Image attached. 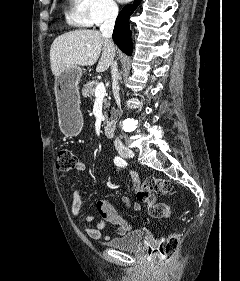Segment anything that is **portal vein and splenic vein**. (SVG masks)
<instances>
[{
  "label": "portal vein and splenic vein",
  "instance_id": "portal-vein-and-splenic-vein-1",
  "mask_svg": "<svg viewBox=\"0 0 240 281\" xmlns=\"http://www.w3.org/2000/svg\"><path fill=\"white\" fill-rule=\"evenodd\" d=\"M106 95V89L104 84L101 82L95 88V97L96 98H104Z\"/></svg>",
  "mask_w": 240,
  "mask_h": 281
}]
</instances>
